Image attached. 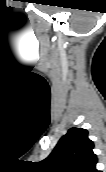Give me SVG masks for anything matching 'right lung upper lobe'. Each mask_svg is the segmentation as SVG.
<instances>
[{
	"instance_id": "1",
	"label": "right lung upper lobe",
	"mask_w": 106,
	"mask_h": 172,
	"mask_svg": "<svg viewBox=\"0 0 106 172\" xmlns=\"http://www.w3.org/2000/svg\"><path fill=\"white\" fill-rule=\"evenodd\" d=\"M93 147L86 129L71 128L51 154L41 161V168L45 172H98Z\"/></svg>"
}]
</instances>
